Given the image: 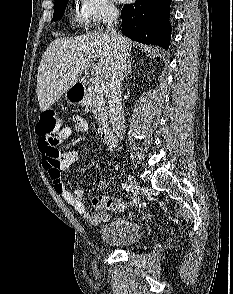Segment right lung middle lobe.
<instances>
[{"mask_svg":"<svg viewBox=\"0 0 233 294\" xmlns=\"http://www.w3.org/2000/svg\"><path fill=\"white\" fill-rule=\"evenodd\" d=\"M67 2H68V0H55L54 14H53L54 21H57L62 17V15L66 9Z\"/></svg>","mask_w":233,"mask_h":294,"instance_id":"obj_1","label":"right lung middle lobe"}]
</instances>
